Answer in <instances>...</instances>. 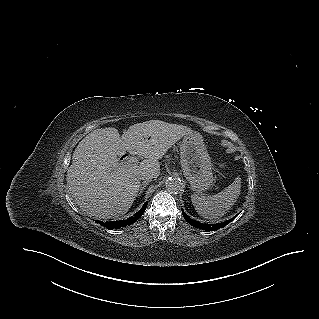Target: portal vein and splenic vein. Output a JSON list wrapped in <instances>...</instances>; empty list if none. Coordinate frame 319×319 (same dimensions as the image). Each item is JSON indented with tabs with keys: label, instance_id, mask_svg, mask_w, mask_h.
Masks as SVG:
<instances>
[{
	"label": "portal vein and splenic vein",
	"instance_id": "18ae733b",
	"mask_svg": "<svg viewBox=\"0 0 319 319\" xmlns=\"http://www.w3.org/2000/svg\"><path fill=\"white\" fill-rule=\"evenodd\" d=\"M138 159H136V158H131V159H129V160H127V161H125L124 162V166L125 167H137L138 166Z\"/></svg>",
	"mask_w": 319,
	"mask_h": 319
}]
</instances>
